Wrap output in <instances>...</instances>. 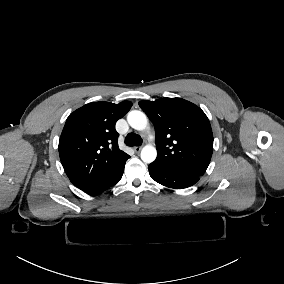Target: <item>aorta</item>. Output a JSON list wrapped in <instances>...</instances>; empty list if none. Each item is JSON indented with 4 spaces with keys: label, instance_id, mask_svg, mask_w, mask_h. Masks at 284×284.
Masks as SVG:
<instances>
[{
    "label": "aorta",
    "instance_id": "aorta-1",
    "mask_svg": "<svg viewBox=\"0 0 284 284\" xmlns=\"http://www.w3.org/2000/svg\"><path fill=\"white\" fill-rule=\"evenodd\" d=\"M127 121L129 125L138 131H144L148 126L146 115L138 110H133L128 113ZM157 151L152 145H146L141 150V159L145 163H151L156 159Z\"/></svg>",
    "mask_w": 284,
    "mask_h": 284
}]
</instances>
